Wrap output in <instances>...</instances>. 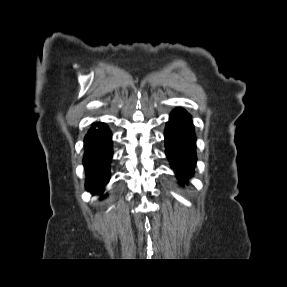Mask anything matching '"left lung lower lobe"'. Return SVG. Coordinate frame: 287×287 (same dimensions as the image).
Returning a JSON list of instances; mask_svg holds the SVG:
<instances>
[{
	"instance_id": "1",
	"label": "left lung lower lobe",
	"mask_w": 287,
	"mask_h": 287,
	"mask_svg": "<svg viewBox=\"0 0 287 287\" xmlns=\"http://www.w3.org/2000/svg\"><path fill=\"white\" fill-rule=\"evenodd\" d=\"M164 135L166 156L183 184L193 175L196 165V136L190 114L184 109H174Z\"/></svg>"
}]
</instances>
